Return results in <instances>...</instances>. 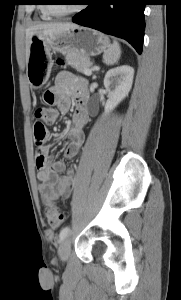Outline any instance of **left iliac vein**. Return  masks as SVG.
Masks as SVG:
<instances>
[{"instance_id": "1", "label": "left iliac vein", "mask_w": 181, "mask_h": 300, "mask_svg": "<svg viewBox=\"0 0 181 300\" xmlns=\"http://www.w3.org/2000/svg\"><path fill=\"white\" fill-rule=\"evenodd\" d=\"M71 245L70 239L66 238L59 247V257L62 261H67L70 256Z\"/></svg>"}]
</instances>
